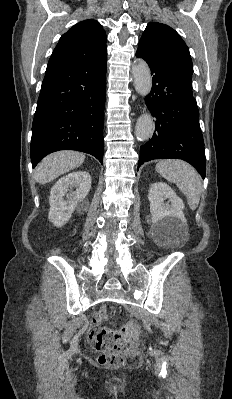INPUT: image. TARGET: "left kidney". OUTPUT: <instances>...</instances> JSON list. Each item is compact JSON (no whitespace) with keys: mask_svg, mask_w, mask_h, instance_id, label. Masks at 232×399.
I'll return each instance as SVG.
<instances>
[{"mask_svg":"<svg viewBox=\"0 0 232 399\" xmlns=\"http://www.w3.org/2000/svg\"><path fill=\"white\" fill-rule=\"evenodd\" d=\"M152 225L150 235L156 243H177L188 237V225L184 215V203L168 184H152L148 196ZM164 200L171 201L170 205Z\"/></svg>","mask_w":232,"mask_h":399,"instance_id":"left-kidney-1","label":"left kidney"}]
</instances>
